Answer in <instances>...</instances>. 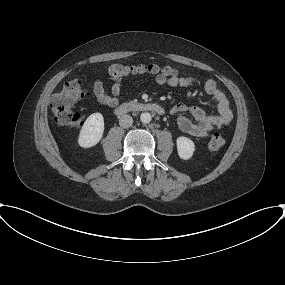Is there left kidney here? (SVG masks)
<instances>
[{
	"instance_id": "1",
	"label": "left kidney",
	"mask_w": 285,
	"mask_h": 285,
	"mask_svg": "<svg viewBox=\"0 0 285 285\" xmlns=\"http://www.w3.org/2000/svg\"><path fill=\"white\" fill-rule=\"evenodd\" d=\"M178 155L183 160H188L193 156L195 151L194 142L184 136L178 137L176 140Z\"/></svg>"
}]
</instances>
